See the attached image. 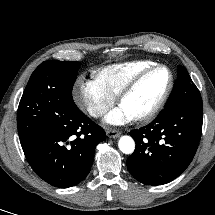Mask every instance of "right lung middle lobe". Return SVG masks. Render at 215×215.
<instances>
[{
	"mask_svg": "<svg viewBox=\"0 0 215 215\" xmlns=\"http://www.w3.org/2000/svg\"><path fill=\"white\" fill-rule=\"evenodd\" d=\"M79 62L44 61L32 73L17 111L20 142L75 111L72 98Z\"/></svg>",
	"mask_w": 215,
	"mask_h": 215,
	"instance_id": "obj_1",
	"label": "right lung middle lobe"
}]
</instances>
